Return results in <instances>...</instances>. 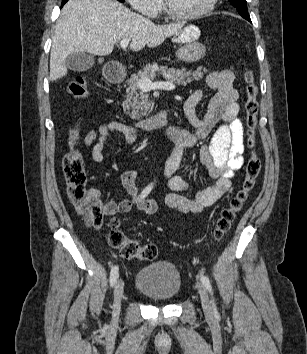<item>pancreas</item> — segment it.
I'll list each match as a JSON object with an SVG mask.
<instances>
[{"label":"pancreas","mask_w":307,"mask_h":354,"mask_svg":"<svg viewBox=\"0 0 307 354\" xmlns=\"http://www.w3.org/2000/svg\"><path fill=\"white\" fill-rule=\"evenodd\" d=\"M158 71H161L167 81L177 85H187L193 80L198 81L203 78L204 73L208 72L206 68L202 69V67L192 71L186 68L174 69L167 68L166 66L159 67L157 64L146 66L143 71L139 72L137 75H132L127 80V95L123 102V109L131 119L139 120L141 117L146 116L151 107L148 95L139 88L138 81L143 78L154 79Z\"/></svg>","instance_id":"cf45deb5"}]
</instances>
